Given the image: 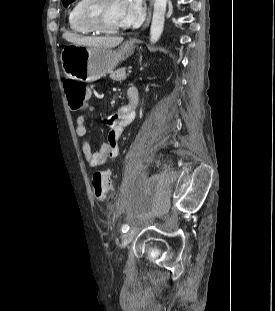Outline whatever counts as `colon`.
Here are the masks:
<instances>
[{"instance_id": "colon-1", "label": "colon", "mask_w": 275, "mask_h": 311, "mask_svg": "<svg viewBox=\"0 0 275 311\" xmlns=\"http://www.w3.org/2000/svg\"><path fill=\"white\" fill-rule=\"evenodd\" d=\"M65 93L69 107L73 111H79L84 108L90 97V91L86 85L76 80H66L64 83ZM112 181L106 171H96L92 176V189L98 200L107 198L112 190Z\"/></svg>"}]
</instances>
